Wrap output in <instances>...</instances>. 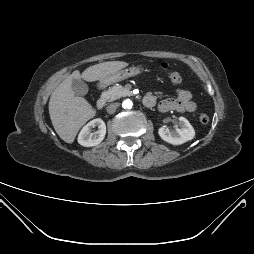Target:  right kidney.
Returning a JSON list of instances; mask_svg holds the SVG:
<instances>
[{"label":"right kidney","instance_id":"right-kidney-1","mask_svg":"<svg viewBox=\"0 0 254 254\" xmlns=\"http://www.w3.org/2000/svg\"><path fill=\"white\" fill-rule=\"evenodd\" d=\"M98 127L97 131L93 129ZM106 135V125L100 118L88 122L78 135V143L85 147L96 146L101 143Z\"/></svg>","mask_w":254,"mask_h":254}]
</instances>
